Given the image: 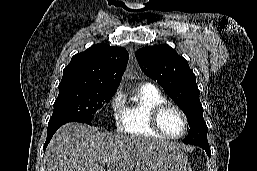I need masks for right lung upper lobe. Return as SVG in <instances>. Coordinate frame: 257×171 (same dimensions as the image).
Listing matches in <instances>:
<instances>
[{
	"mask_svg": "<svg viewBox=\"0 0 257 171\" xmlns=\"http://www.w3.org/2000/svg\"><path fill=\"white\" fill-rule=\"evenodd\" d=\"M128 58L122 47L95 44L72 57L63 70L59 87L81 85L117 90Z\"/></svg>",
	"mask_w": 257,
	"mask_h": 171,
	"instance_id": "1",
	"label": "right lung upper lobe"
}]
</instances>
